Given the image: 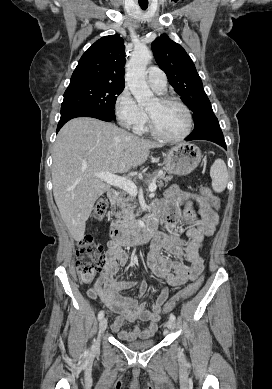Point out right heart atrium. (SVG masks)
Here are the masks:
<instances>
[{
    "label": "right heart atrium",
    "mask_w": 272,
    "mask_h": 389,
    "mask_svg": "<svg viewBox=\"0 0 272 389\" xmlns=\"http://www.w3.org/2000/svg\"><path fill=\"white\" fill-rule=\"evenodd\" d=\"M114 109L119 123L125 128L136 130L147 119L145 111L137 104L127 88L117 96Z\"/></svg>",
    "instance_id": "right-heart-atrium-1"
}]
</instances>
